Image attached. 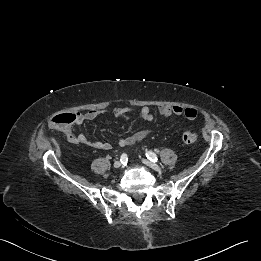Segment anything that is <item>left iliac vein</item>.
<instances>
[{"label": "left iliac vein", "mask_w": 261, "mask_h": 261, "mask_svg": "<svg viewBox=\"0 0 261 261\" xmlns=\"http://www.w3.org/2000/svg\"><path fill=\"white\" fill-rule=\"evenodd\" d=\"M142 162H143L146 166L152 168V169L155 170V171H158V172H161V171H162V168H161L159 165H157V164H155V163H153V162H151V161H149V160H147V159H143Z\"/></svg>", "instance_id": "obj_1"}]
</instances>
